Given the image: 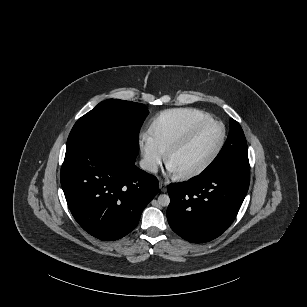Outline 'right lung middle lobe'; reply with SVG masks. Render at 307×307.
Returning a JSON list of instances; mask_svg holds the SVG:
<instances>
[{"instance_id": "dd1d6c3e", "label": "right lung middle lobe", "mask_w": 307, "mask_h": 307, "mask_svg": "<svg viewBox=\"0 0 307 307\" xmlns=\"http://www.w3.org/2000/svg\"><path fill=\"white\" fill-rule=\"evenodd\" d=\"M148 114L147 107L141 103L119 99L102 101L75 123L66 150L89 140L102 139L117 144L136 158L140 128Z\"/></svg>"}]
</instances>
